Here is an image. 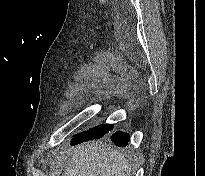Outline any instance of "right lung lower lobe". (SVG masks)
I'll return each mask as SVG.
<instances>
[{
    "label": "right lung lower lobe",
    "mask_w": 205,
    "mask_h": 176,
    "mask_svg": "<svg viewBox=\"0 0 205 176\" xmlns=\"http://www.w3.org/2000/svg\"><path fill=\"white\" fill-rule=\"evenodd\" d=\"M129 135L127 133L124 132H116L111 136V140L118 146L120 147H125L128 145L129 142ZM81 143L80 141H78L77 139L75 140V138L72 139V145L74 144H78Z\"/></svg>",
    "instance_id": "98d812e1"
}]
</instances>
